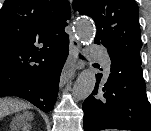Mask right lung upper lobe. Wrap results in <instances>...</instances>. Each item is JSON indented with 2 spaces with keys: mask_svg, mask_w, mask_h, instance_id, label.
<instances>
[{
  "mask_svg": "<svg viewBox=\"0 0 151 131\" xmlns=\"http://www.w3.org/2000/svg\"><path fill=\"white\" fill-rule=\"evenodd\" d=\"M67 0H6L0 10V94L44 66L50 49L69 39Z\"/></svg>",
  "mask_w": 151,
  "mask_h": 131,
  "instance_id": "cb5924a9",
  "label": "right lung upper lobe"
}]
</instances>
